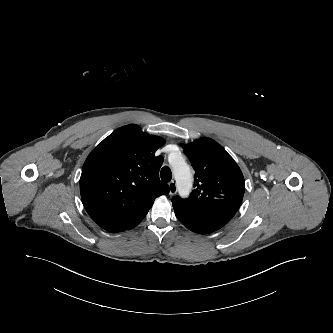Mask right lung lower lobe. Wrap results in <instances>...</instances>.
Returning a JSON list of instances; mask_svg holds the SVG:
<instances>
[{"instance_id":"98d812e1","label":"right lung lower lobe","mask_w":333,"mask_h":333,"mask_svg":"<svg viewBox=\"0 0 333 333\" xmlns=\"http://www.w3.org/2000/svg\"><path fill=\"white\" fill-rule=\"evenodd\" d=\"M137 225H138V224H137ZM137 225H135V226H137ZM135 226H134V227H135ZM134 227H132V228H134ZM132 228H130V229H132ZM130 229H128V230H130Z\"/></svg>"}]
</instances>
